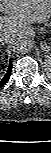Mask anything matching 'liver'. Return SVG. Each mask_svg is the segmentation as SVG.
<instances>
[{"label": "liver", "instance_id": "obj_1", "mask_svg": "<svg viewBox=\"0 0 51 153\" xmlns=\"http://www.w3.org/2000/svg\"><path fill=\"white\" fill-rule=\"evenodd\" d=\"M0 13V35L12 34L14 39L30 24L50 19L51 0H0Z\"/></svg>", "mask_w": 51, "mask_h": 153}]
</instances>
